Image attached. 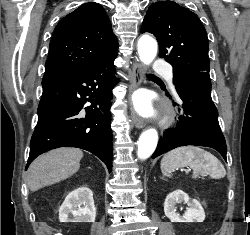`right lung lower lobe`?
Returning a JSON list of instances; mask_svg holds the SVG:
<instances>
[{
    "label": "right lung lower lobe",
    "mask_w": 250,
    "mask_h": 235,
    "mask_svg": "<svg viewBox=\"0 0 250 235\" xmlns=\"http://www.w3.org/2000/svg\"><path fill=\"white\" fill-rule=\"evenodd\" d=\"M111 55L77 73L42 80L38 123L30 142L26 169L40 154L58 147H78L99 157L112 170L111 112L115 77ZM89 102L90 106H85Z\"/></svg>",
    "instance_id": "1"
}]
</instances>
